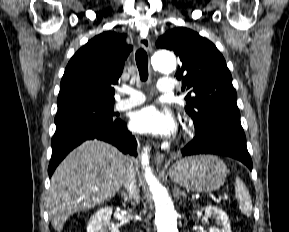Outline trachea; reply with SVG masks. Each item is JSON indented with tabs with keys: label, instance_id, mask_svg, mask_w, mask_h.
Returning <instances> with one entry per match:
<instances>
[{
	"label": "trachea",
	"instance_id": "trachea-1",
	"mask_svg": "<svg viewBox=\"0 0 289 232\" xmlns=\"http://www.w3.org/2000/svg\"><path fill=\"white\" fill-rule=\"evenodd\" d=\"M136 65L139 70L141 81H146L148 79V56L143 48L137 50L136 55Z\"/></svg>",
	"mask_w": 289,
	"mask_h": 232
}]
</instances>
